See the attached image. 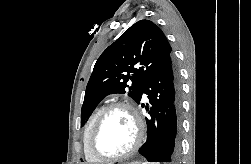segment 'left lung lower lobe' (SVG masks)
Returning <instances> with one entry per match:
<instances>
[{"mask_svg":"<svg viewBox=\"0 0 251 164\" xmlns=\"http://www.w3.org/2000/svg\"><path fill=\"white\" fill-rule=\"evenodd\" d=\"M143 93L149 99L150 116L146 118L147 140L139 153L149 162L175 164L180 152L181 84L172 56L149 76Z\"/></svg>","mask_w":251,"mask_h":164,"instance_id":"obj_1","label":"left lung lower lobe"}]
</instances>
